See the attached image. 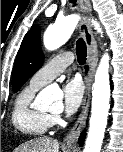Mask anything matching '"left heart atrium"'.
Masks as SVG:
<instances>
[{"label": "left heart atrium", "mask_w": 123, "mask_h": 152, "mask_svg": "<svg viewBox=\"0 0 123 152\" xmlns=\"http://www.w3.org/2000/svg\"><path fill=\"white\" fill-rule=\"evenodd\" d=\"M83 86L79 79H71L63 85L64 111L66 115L74 114L81 105Z\"/></svg>", "instance_id": "obj_1"}]
</instances>
